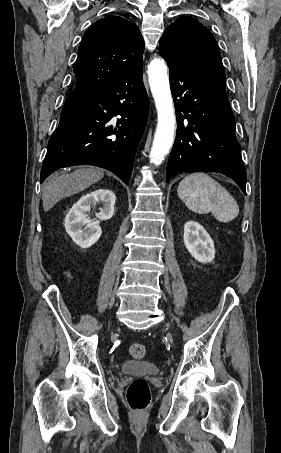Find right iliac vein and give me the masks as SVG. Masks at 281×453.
I'll return each mask as SVG.
<instances>
[{
    "instance_id": "right-iliac-vein-1",
    "label": "right iliac vein",
    "mask_w": 281,
    "mask_h": 453,
    "mask_svg": "<svg viewBox=\"0 0 281 453\" xmlns=\"http://www.w3.org/2000/svg\"><path fill=\"white\" fill-rule=\"evenodd\" d=\"M115 328L118 330L120 327L117 325Z\"/></svg>"
}]
</instances>
